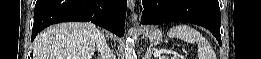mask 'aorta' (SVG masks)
Instances as JSON below:
<instances>
[{"instance_id":"1","label":"aorta","mask_w":261,"mask_h":59,"mask_svg":"<svg viewBox=\"0 0 261 59\" xmlns=\"http://www.w3.org/2000/svg\"><path fill=\"white\" fill-rule=\"evenodd\" d=\"M124 52H125V59H136V54H135V50L132 46L131 38L126 39Z\"/></svg>"}]
</instances>
